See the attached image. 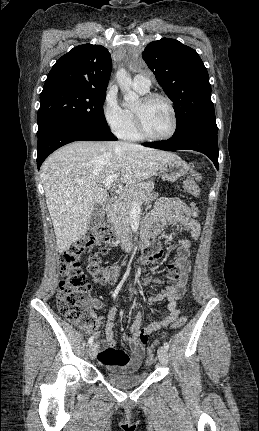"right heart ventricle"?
<instances>
[{
    "label": "right heart ventricle",
    "instance_id": "1",
    "mask_svg": "<svg viewBox=\"0 0 259 431\" xmlns=\"http://www.w3.org/2000/svg\"><path fill=\"white\" fill-rule=\"evenodd\" d=\"M137 90V89H136ZM141 94H145L146 92L137 90ZM126 112L128 115V119L124 127L119 132V136L125 140L128 141H140L143 138L139 135V133L136 130L135 126V120H134V114L133 110L126 108Z\"/></svg>",
    "mask_w": 259,
    "mask_h": 431
}]
</instances>
